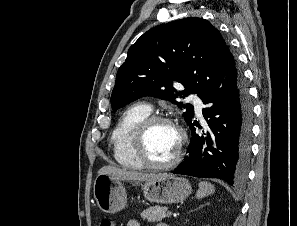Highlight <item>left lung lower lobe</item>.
Returning <instances> with one entry per match:
<instances>
[{"mask_svg": "<svg viewBox=\"0 0 297 226\" xmlns=\"http://www.w3.org/2000/svg\"><path fill=\"white\" fill-rule=\"evenodd\" d=\"M208 126L197 134L188 122L192 138L186 159L173 171L195 177L219 178L231 186L242 185L250 160L252 105L242 76L235 86L209 87L199 95Z\"/></svg>", "mask_w": 297, "mask_h": 226, "instance_id": "1", "label": "left lung lower lobe"}]
</instances>
